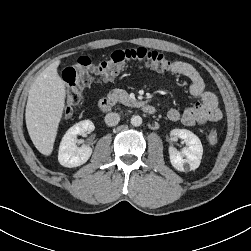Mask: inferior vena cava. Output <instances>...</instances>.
<instances>
[{"instance_id": "602c4592", "label": "inferior vena cava", "mask_w": 251, "mask_h": 251, "mask_svg": "<svg viewBox=\"0 0 251 251\" xmlns=\"http://www.w3.org/2000/svg\"><path fill=\"white\" fill-rule=\"evenodd\" d=\"M120 121V115L118 113H108L106 116H105V123L108 125V126H115L119 123Z\"/></svg>"}]
</instances>
